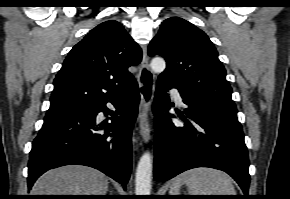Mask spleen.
Here are the masks:
<instances>
[{"instance_id": "1", "label": "spleen", "mask_w": 290, "mask_h": 199, "mask_svg": "<svg viewBox=\"0 0 290 199\" xmlns=\"http://www.w3.org/2000/svg\"><path fill=\"white\" fill-rule=\"evenodd\" d=\"M186 184L189 195H236L230 177L213 168H194L178 176L170 192L179 195L180 187Z\"/></svg>"}]
</instances>
